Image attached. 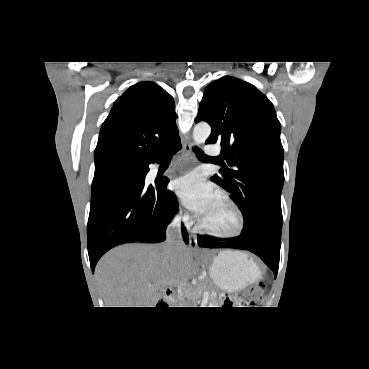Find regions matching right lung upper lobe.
Returning <instances> with one entry per match:
<instances>
[{
    "mask_svg": "<svg viewBox=\"0 0 369 369\" xmlns=\"http://www.w3.org/2000/svg\"><path fill=\"white\" fill-rule=\"evenodd\" d=\"M170 94L152 82L131 86L102 124L95 149V165L122 161H150L180 141Z\"/></svg>",
    "mask_w": 369,
    "mask_h": 369,
    "instance_id": "cb5924a9",
    "label": "right lung upper lobe"
}]
</instances>
